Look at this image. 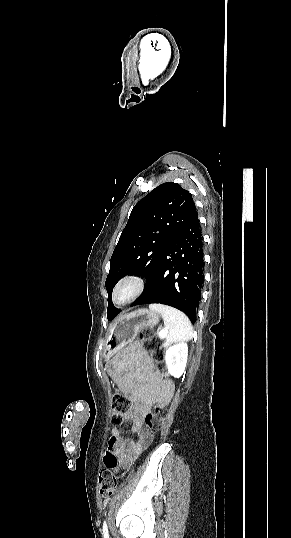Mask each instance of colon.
<instances>
[{
  "instance_id": "obj_1",
  "label": "colon",
  "mask_w": 291,
  "mask_h": 538,
  "mask_svg": "<svg viewBox=\"0 0 291 538\" xmlns=\"http://www.w3.org/2000/svg\"><path fill=\"white\" fill-rule=\"evenodd\" d=\"M139 339L149 354L152 361L159 364L163 360L164 351L157 340L153 329L142 328L139 332ZM133 399L122 392L115 393L112 397V417L115 422H121L123 418L132 410ZM168 408L165 404H157L146 416V423L150 433L156 434L163 426L167 417ZM106 466L99 476V488L102 496H111L117 487V479L113 474V469L117 465V459L111 448H107L104 455Z\"/></svg>"
}]
</instances>
